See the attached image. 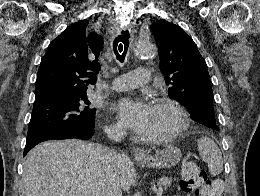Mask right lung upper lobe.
<instances>
[{
	"label": "right lung upper lobe",
	"mask_w": 260,
	"mask_h": 196,
	"mask_svg": "<svg viewBox=\"0 0 260 196\" xmlns=\"http://www.w3.org/2000/svg\"><path fill=\"white\" fill-rule=\"evenodd\" d=\"M87 26L86 19L71 24L50 43L39 67L34 105L61 95L86 93L87 86L95 84L103 39L88 33Z\"/></svg>",
	"instance_id": "cb5924a9"
}]
</instances>
